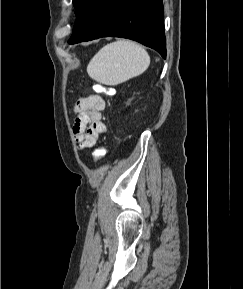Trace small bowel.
<instances>
[{"instance_id": "obj_1", "label": "small bowel", "mask_w": 243, "mask_h": 289, "mask_svg": "<svg viewBox=\"0 0 243 289\" xmlns=\"http://www.w3.org/2000/svg\"><path fill=\"white\" fill-rule=\"evenodd\" d=\"M105 100L99 94L81 97L74 108L73 134L80 149L94 147L101 134L106 132L102 121Z\"/></svg>"}]
</instances>
